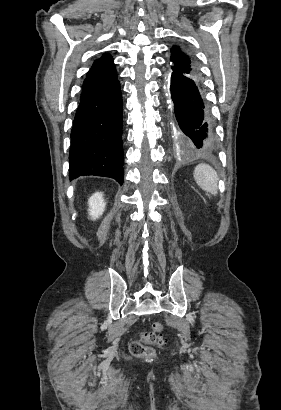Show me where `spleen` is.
Segmentation results:
<instances>
[{
    "label": "spleen",
    "mask_w": 281,
    "mask_h": 410,
    "mask_svg": "<svg viewBox=\"0 0 281 410\" xmlns=\"http://www.w3.org/2000/svg\"><path fill=\"white\" fill-rule=\"evenodd\" d=\"M194 179L198 186L212 194L218 192V175L217 172L208 164H199L194 169Z\"/></svg>",
    "instance_id": "spleen-1"
}]
</instances>
